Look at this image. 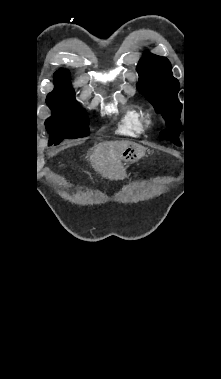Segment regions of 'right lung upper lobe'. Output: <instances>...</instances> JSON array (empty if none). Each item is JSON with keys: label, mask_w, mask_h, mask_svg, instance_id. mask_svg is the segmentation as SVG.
<instances>
[{"label": "right lung upper lobe", "mask_w": 221, "mask_h": 379, "mask_svg": "<svg viewBox=\"0 0 221 379\" xmlns=\"http://www.w3.org/2000/svg\"><path fill=\"white\" fill-rule=\"evenodd\" d=\"M67 70H58L54 74V90L48 94L46 102H70L75 101L74 90L69 81Z\"/></svg>", "instance_id": "obj_1"}]
</instances>
